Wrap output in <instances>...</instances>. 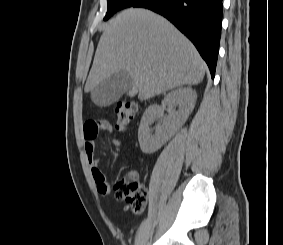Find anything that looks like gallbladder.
Wrapping results in <instances>:
<instances>
[{
    "mask_svg": "<svg viewBox=\"0 0 283 245\" xmlns=\"http://www.w3.org/2000/svg\"><path fill=\"white\" fill-rule=\"evenodd\" d=\"M132 78L126 71H119L101 81L92 91L94 104L105 107L116 102L131 86Z\"/></svg>",
    "mask_w": 283,
    "mask_h": 245,
    "instance_id": "gallbladder-1",
    "label": "gallbladder"
}]
</instances>
